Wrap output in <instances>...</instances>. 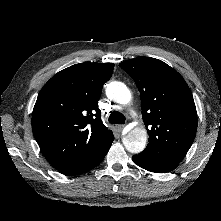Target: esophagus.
I'll use <instances>...</instances> for the list:
<instances>
[{
  "label": "esophagus",
  "mask_w": 221,
  "mask_h": 221,
  "mask_svg": "<svg viewBox=\"0 0 221 221\" xmlns=\"http://www.w3.org/2000/svg\"><path fill=\"white\" fill-rule=\"evenodd\" d=\"M117 129L121 132L124 129V125H117Z\"/></svg>",
  "instance_id": "obj_1"
}]
</instances>
